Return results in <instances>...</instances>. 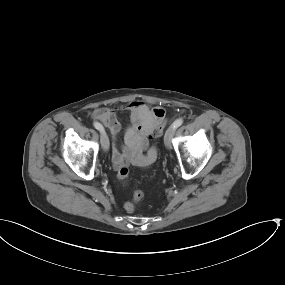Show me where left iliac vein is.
I'll return each instance as SVG.
<instances>
[{"instance_id": "4c4485c4", "label": "left iliac vein", "mask_w": 285, "mask_h": 285, "mask_svg": "<svg viewBox=\"0 0 285 285\" xmlns=\"http://www.w3.org/2000/svg\"><path fill=\"white\" fill-rule=\"evenodd\" d=\"M175 129L173 126H170L168 128V130L166 131L165 133V136H164V143H165V146L167 148H170L171 147V141H172V137L175 133Z\"/></svg>"}]
</instances>
